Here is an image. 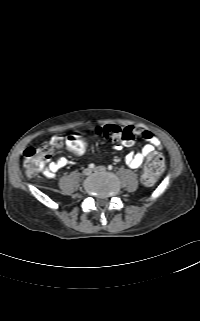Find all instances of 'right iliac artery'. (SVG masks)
<instances>
[{
    "instance_id": "obj_1",
    "label": "right iliac artery",
    "mask_w": 200,
    "mask_h": 321,
    "mask_svg": "<svg viewBox=\"0 0 200 321\" xmlns=\"http://www.w3.org/2000/svg\"><path fill=\"white\" fill-rule=\"evenodd\" d=\"M95 165L93 163L89 164V168L93 169Z\"/></svg>"
}]
</instances>
